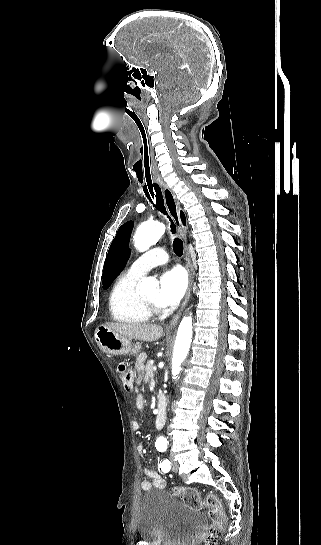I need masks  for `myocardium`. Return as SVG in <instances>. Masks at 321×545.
Listing matches in <instances>:
<instances>
[{
  "label": "myocardium",
  "instance_id": "myocardium-1",
  "mask_svg": "<svg viewBox=\"0 0 321 545\" xmlns=\"http://www.w3.org/2000/svg\"><path fill=\"white\" fill-rule=\"evenodd\" d=\"M136 297H137V301H138L139 305L141 306V308L143 310H145L146 312L151 313V314H153V313H155L157 311V307L154 306V305H149V304L145 303L141 299V297H139L138 292L136 293Z\"/></svg>",
  "mask_w": 321,
  "mask_h": 545
}]
</instances>
